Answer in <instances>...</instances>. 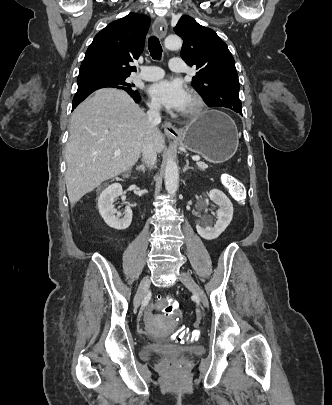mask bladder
I'll return each mask as SVG.
<instances>
[{"label": "bladder", "mask_w": 332, "mask_h": 405, "mask_svg": "<svg viewBox=\"0 0 332 405\" xmlns=\"http://www.w3.org/2000/svg\"><path fill=\"white\" fill-rule=\"evenodd\" d=\"M150 339L155 342L159 343V338L154 335H150ZM201 350L197 346H176V345H155V346H146L141 351V358L143 360H149L155 354H164V355H171V354H188V355H198L200 354Z\"/></svg>", "instance_id": "obj_1"}]
</instances>
